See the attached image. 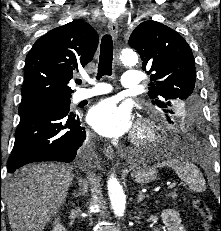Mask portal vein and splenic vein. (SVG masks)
I'll list each match as a JSON object with an SVG mask.
<instances>
[{"label": "portal vein and splenic vein", "instance_id": "portal-vein-and-splenic-vein-1", "mask_svg": "<svg viewBox=\"0 0 221 231\" xmlns=\"http://www.w3.org/2000/svg\"><path fill=\"white\" fill-rule=\"evenodd\" d=\"M176 186V183H170L168 185V189H173Z\"/></svg>", "mask_w": 221, "mask_h": 231}]
</instances>
